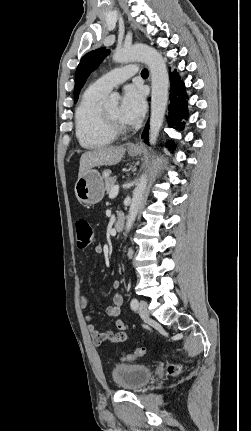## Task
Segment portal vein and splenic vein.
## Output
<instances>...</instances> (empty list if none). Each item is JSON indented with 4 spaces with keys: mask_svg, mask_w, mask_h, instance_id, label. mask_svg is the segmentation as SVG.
<instances>
[{
    "mask_svg": "<svg viewBox=\"0 0 251 431\" xmlns=\"http://www.w3.org/2000/svg\"><path fill=\"white\" fill-rule=\"evenodd\" d=\"M119 192V185H114L109 193V198H115L118 195Z\"/></svg>",
    "mask_w": 251,
    "mask_h": 431,
    "instance_id": "1",
    "label": "portal vein and splenic vein"
}]
</instances>
